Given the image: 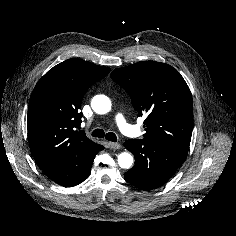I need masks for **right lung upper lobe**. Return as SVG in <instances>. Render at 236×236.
<instances>
[{
	"label": "right lung upper lobe",
	"mask_w": 236,
	"mask_h": 236,
	"mask_svg": "<svg viewBox=\"0 0 236 236\" xmlns=\"http://www.w3.org/2000/svg\"><path fill=\"white\" fill-rule=\"evenodd\" d=\"M109 72L107 67L71 58L38 81L29 101L27 129L40 168L96 149L98 144L77 130L82 118L79 109L88 88Z\"/></svg>",
	"instance_id": "obj_1"
}]
</instances>
